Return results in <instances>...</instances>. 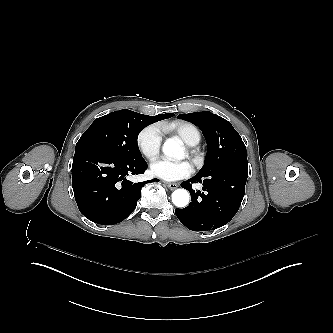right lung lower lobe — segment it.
I'll return each instance as SVG.
<instances>
[{"mask_svg":"<svg viewBox=\"0 0 333 333\" xmlns=\"http://www.w3.org/2000/svg\"><path fill=\"white\" fill-rule=\"evenodd\" d=\"M146 169L144 159L129 161L98 146H76L72 187L80 212L97 224L123 221L136 208L141 188L146 184L133 183L126 177L143 174Z\"/></svg>","mask_w":333,"mask_h":333,"instance_id":"obj_1","label":"right lung lower lobe"}]
</instances>
